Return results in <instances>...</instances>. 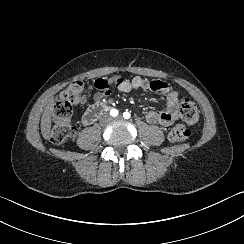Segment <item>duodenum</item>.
<instances>
[{
  "label": "duodenum",
  "mask_w": 244,
  "mask_h": 244,
  "mask_svg": "<svg viewBox=\"0 0 244 244\" xmlns=\"http://www.w3.org/2000/svg\"><path fill=\"white\" fill-rule=\"evenodd\" d=\"M110 110V106L108 104L98 102L91 106L89 109V116L91 118V122L96 121L98 118L103 116Z\"/></svg>",
  "instance_id": "410a0bca"
}]
</instances>
